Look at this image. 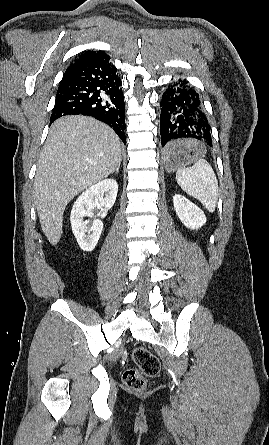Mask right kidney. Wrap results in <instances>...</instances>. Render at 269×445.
I'll return each instance as SVG.
<instances>
[{
	"label": "right kidney",
	"mask_w": 269,
	"mask_h": 445,
	"mask_svg": "<svg viewBox=\"0 0 269 445\" xmlns=\"http://www.w3.org/2000/svg\"><path fill=\"white\" fill-rule=\"evenodd\" d=\"M118 192V184L114 179H105L87 188L75 201L70 215L72 231L83 251L95 249L100 238L103 223L94 220L92 227L87 229L83 218L93 216L95 207L100 208V217L105 218L108 210L114 205Z\"/></svg>",
	"instance_id": "obj_1"
}]
</instances>
